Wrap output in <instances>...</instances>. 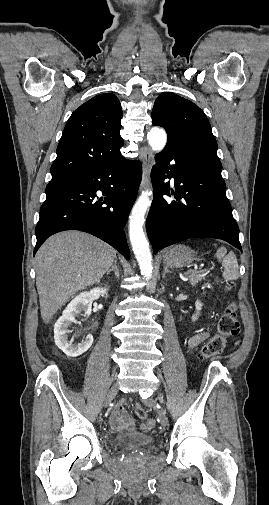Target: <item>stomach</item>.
<instances>
[{
  "mask_svg": "<svg viewBox=\"0 0 269 505\" xmlns=\"http://www.w3.org/2000/svg\"><path fill=\"white\" fill-rule=\"evenodd\" d=\"M162 258L166 267H183L195 260V252L188 246L179 244L165 251Z\"/></svg>",
  "mask_w": 269,
  "mask_h": 505,
  "instance_id": "stomach-1",
  "label": "stomach"
}]
</instances>
